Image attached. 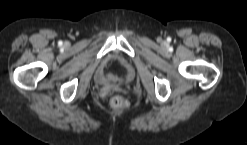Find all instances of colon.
<instances>
[{"label": "colon", "instance_id": "5ec220e1", "mask_svg": "<svg viewBox=\"0 0 247 145\" xmlns=\"http://www.w3.org/2000/svg\"><path fill=\"white\" fill-rule=\"evenodd\" d=\"M111 106L113 108L119 109V108H123L125 106V101L123 98L119 97V96H114L111 101Z\"/></svg>", "mask_w": 247, "mask_h": 145}]
</instances>
